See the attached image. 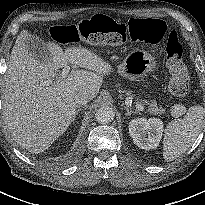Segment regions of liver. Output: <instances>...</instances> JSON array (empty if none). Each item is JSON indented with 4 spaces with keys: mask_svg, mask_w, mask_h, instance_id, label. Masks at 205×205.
<instances>
[{
    "mask_svg": "<svg viewBox=\"0 0 205 205\" xmlns=\"http://www.w3.org/2000/svg\"><path fill=\"white\" fill-rule=\"evenodd\" d=\"M32 35L23 30L11 52L3 95V115L12 138L32 153H41L63 134L76 115L75 96L94 98L112 67L86 48L63 49L48 42L49 56L40 60L28 49ZM68 63L87 70H73L64 79L58 75ZM53 78V79H52ZM55 78V79H54ZM52 80L50 85L43 82Z\"/></svg>",
    "mask_w": 205,
    "mask_h": 205,
    "instance_id": "obj_1",
    "label": "liver"
}]
</instances>
